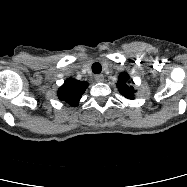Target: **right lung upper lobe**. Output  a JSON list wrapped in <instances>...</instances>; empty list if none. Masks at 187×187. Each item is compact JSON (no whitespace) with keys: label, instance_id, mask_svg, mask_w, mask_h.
I'll return each instance as SVG.
<instances>
[{"label":"right lung upper lobe","instance_id":"1","mask_svg":"<svg viewBox=\"0 0 187 187\" xmlns=\"http://www.w3.org/2000/svg\"><path fill=\"white\" fill-rule=\"evenodd\" d=\"M87 87V82L69 78L59 88L58 97L72 106H77Z\"/></svg>","mask_w":187,"mask_h":187}]
</instances>
